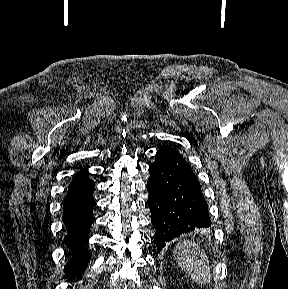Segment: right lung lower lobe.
<instances>
[{
	"label": "right lung lower lobe",
	"instance_id": "1",
	"mask_svg": "<svg viewBox=\"0 0 288 289\" xmlns=\"http://www.w3.org/2000/svg\"><path fill=\"white\" fill-rule=\"evenodd\" d=\"M88 171L81 170L71 181L64 199L63 221L67 235L64 243L69 247L72 258L65 265V277H79L85 271L90 253L85 243L89 228L94 221V183L88 178Z\"/></svg>",
	"mask_w": 288,
	"mask_h": 289
}]
</instances>
